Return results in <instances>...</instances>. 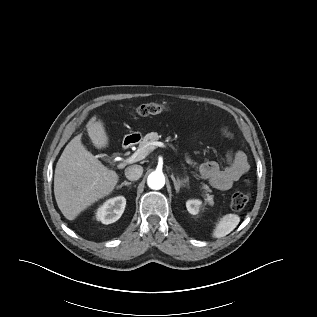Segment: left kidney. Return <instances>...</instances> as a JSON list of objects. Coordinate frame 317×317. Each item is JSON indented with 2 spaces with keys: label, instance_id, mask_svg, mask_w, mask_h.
<instances>
[{
  "label": "left kidney",
  "instance_id": "obj_1",
  "mask_svg": "<svg viewBox=\"0 0 317 317\" xmlns=\"http://www.w3.org/2000/svg\"><path fill=\"white\" fill-rule=\"evenodd\" d=\"M186 207H187V210L190 214L192 215H197L199 214V212L203 209L202 208V202L200 200H188L186 202Z\"/></svg>",
  "mask_w": 317,
  "mask_h": 317
}]
</instances>
